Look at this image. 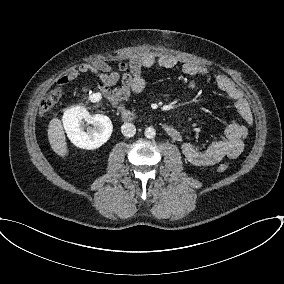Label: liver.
<instances>
[{"mask_svg":"<svg viewBox=\"0 0 284 284\" xmlns=\"http://www.w3.org/2000/svg\"><path fill=\"white\" fill-rule=\"evenodd\" d=\"M48 140L53 151L64 158L68 155L67 143L61 121L53 118L48 126Z\"/></svg>","mask_w":284,"mask_h":284,"instance_id":"6515ba94","label":"liver"}]
</instances>
